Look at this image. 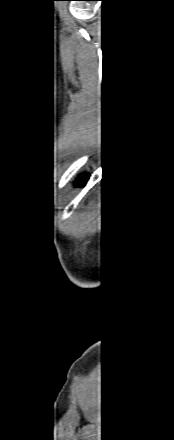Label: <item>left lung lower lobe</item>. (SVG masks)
<instances>
[{
  "label": "left lung lower lobe",
  "instance_id": "0a47b994",
  "mask_svg": "<svg viewBox=\"0 0 174 440\" xmlns=\"http://www.w3.org/2000/svg\"><path fill=\"white\" fill-rule=\"evenodd\" d=\"M88 177L84 176L79 179V184H84L87 181Z\"/></svg>",
  "mask_w": 174,
  "mask_h": 440
}]
</instances>
